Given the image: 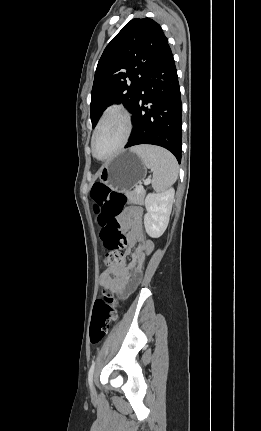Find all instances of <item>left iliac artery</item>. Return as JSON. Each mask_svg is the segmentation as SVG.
I'll list each match as a JSON object with an SVG mask.
<instances>
[{
	"label": "left iliac artery",
	"mask_w": 261,
	"mask_h": 431,
	"mask_svg": "<svg viewBox=\"0 0 261 431\" xmlns=\"http://www.w3.org/2000/svg\"><path fill=\"white\" fill-rule=\"evenodd\" d=\"M95 364H96L95 362L92 363V365L89 369V373H88V383H89L90 388L92 387Z\"/></svg>",
	"instance_id": "44dca946"
}]
</instances>
